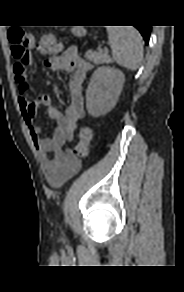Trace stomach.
<instances>
[{"label": "stomach", "mask_w": 184, "mask_h": 292, "mask_svg": "<svg viewBox=\"0 0 184 292\" xmlns=\"http://www.w3.org/2000/svg\"><path fill=\"white\" fill-rule=\"evenodd\" d=\"M72 31L74 32L75 35H78V36H80V35H82L84 33L83 29H81L79 27H74L72 29Z\"/></svg>", "instance_id": "1"}]
</instances>
